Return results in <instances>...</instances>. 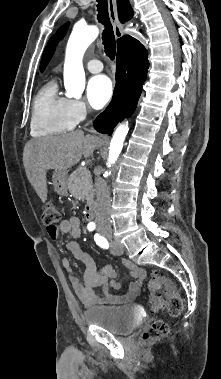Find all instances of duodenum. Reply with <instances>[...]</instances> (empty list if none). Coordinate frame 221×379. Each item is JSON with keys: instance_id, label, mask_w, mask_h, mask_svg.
<instances>
[{"instance_id": "duodenum-1", "label": "duodenum", "mask_w": 221, "mask_h": 379, "mask_svg": "<svg viewBox=\"0 0 221 379\" xmlns=\"http://www.w3.org/2000/svg\"><path fill=\"white\" fill-rule=\"evenodd\" d=\"M97 215V204L91 203L85 210V219L87 221H92Z\"/></svg>"}]
</instances>
